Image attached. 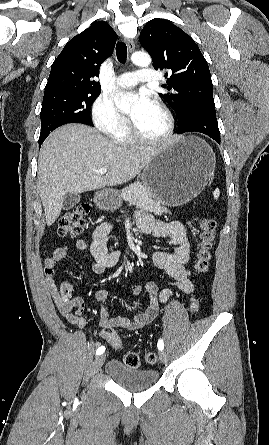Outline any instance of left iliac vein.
Masks as SVG:
<instances>
[{
	"instance_id": "obj_1",
	"label": "left iliac vein",
	"mask_w": 269,
	"mask_h": 445,
	"mask_svg": "<svg viewBox=\"0 0 269 445\" xmlns=\"http://www.w3.org/2000/svg\"><path fill=\"white\" fill-rule=\"evenodd\" d=\"M159 359L162 363H167L168 362V354L165 351H161L159 353Z\"/></svg>"
}]
</instances>
